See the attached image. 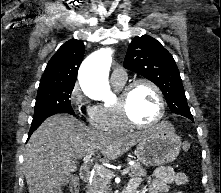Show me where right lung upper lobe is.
Wrapping results in <instances>:
<instances>
[{
    "instance_id": "right-lung-upper-lobe-1",
    "label": "right lung upper lobe",
    "mask_w": 221,
    "mask_h": 193,
    "mask_svg": "<svg viewBox=\"0 0 221 193\" xmlns=\"http://www.w3.org/2000/svg\"><path fill=\"white\" fill-rule=\"evenodd\" d=\"M84 51L85 46L80 40L71 39L64 43L48 62L39 88L75 85Z\"/></svg>"
}]
</instances>
